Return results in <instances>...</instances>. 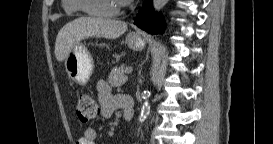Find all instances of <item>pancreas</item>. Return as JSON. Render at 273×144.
Segmentation results:
<instances>
[{
	"label": "pancreas",
	"mask_w": 273,
	"mask_h": 144,
	"mask_svg": "<svg viewBox=\"0 0 273 144\" xmlns=\"http://www.w3.org/2000/svg\"><path fill=\"white\" fill-rule=\"evenodd\" d=\"M126 67L124 65L120 67H115L111 70L109 77H108V82L112 87H120L122 86L126 81H127V76H125Z\"/></svg>",
	"instance_id": "1"
}]
</instances>
